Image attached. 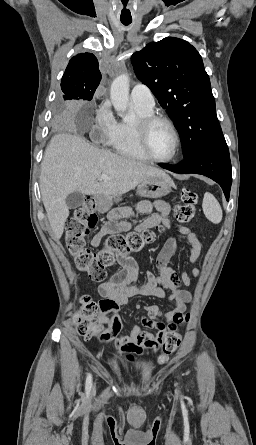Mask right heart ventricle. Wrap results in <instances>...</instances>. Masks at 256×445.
Masks as SVG:
<instances>
[{
	"label": "right heart ventricle",
	"mask_w": 256,
	"mask_h": 445,
	"mask_svg": "<svg viewBox=\"0 0 256 445\" xmlns=\"http://www.w3.org/2000/svg\"><path fill=\"white\" fill-rule=\"evenodd\" d=\"M138 118L152 115V110H145L133 105ZM134 123L117 122L115 131L108 144L120 155L137 160H147L142 152L135 133Z\"/></svg>",
	"instance_id": "e07e8e85"
}]
</instances>
